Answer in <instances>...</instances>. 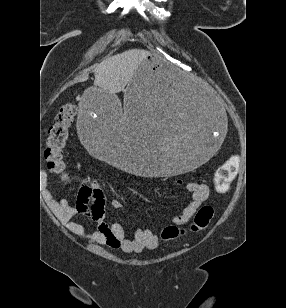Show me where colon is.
I'll return each instance as SVG.
<instances>
[{
  "label": "colon",
  "instance_id": "obj_1",
  "mask_svg": "<svg viewBox=\"0 0 286 308\" xmlns=\"http://www.w3.org/2000/svg\"><path fill=\"white\" fill-rule=\"evenodd\" d=\"M76 109L74 103L68 102L63 104L48 132L45 159L49 170L62 180H65L68 176L65 162V147L69 139L70 128L76 116ZM240 162L239 156L233 155L217 169L214 176V188L217 192L224 193L229 190L232 181L238 173ZM213 214L214 211L211 206H202L197 211L188 229L167 226L162 230L161 237L164 241H170L184 236L187 232H200L207 228Z\"/></svg>",
  "mask_w": 286,
  "mask_h": 308
}]
</instances>
